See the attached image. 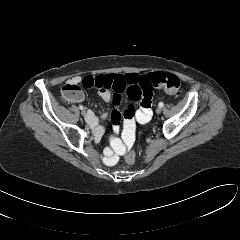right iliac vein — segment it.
<instances>
[{
	"label": "right iliac vein",
	"mask_w": 240,
	"mask_h": 240,
	"mask_svg": "<svg viewBox=\"0 0 240 240\" xmlns=\"http://www.w3.org/2000/svg\"><path fill=\"white\" fill-rule=\"evenodd\" d=\"M81 114H82L83 116H85V115H86V110H85V109H82V110H81Z\"/></svg>",
	"instance_id": "1"
}]
</instances>
